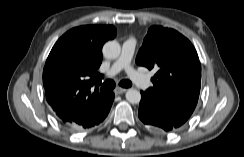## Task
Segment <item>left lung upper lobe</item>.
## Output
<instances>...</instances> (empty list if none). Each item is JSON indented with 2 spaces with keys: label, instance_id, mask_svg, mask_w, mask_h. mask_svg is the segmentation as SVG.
<instances>
[{
  "label": "left lung upper lobe",
  "instance_id": "obj_1",
  "mask_svg": "<svg viewBox=\"0 0 244 157\" xmlns=\"http://www.w3.org/2000/svg\"><path fill=\"white\" fill-rule=\"evenodd\" d=\"M136 63L157 71L151 78L154 86L145 93L182 126L193 113L200 93L201 65L194 46L174 29L152 26Z\"/></svg>",
  "mask_w": 244,
  "mask_h": 157
}]
</instances>
